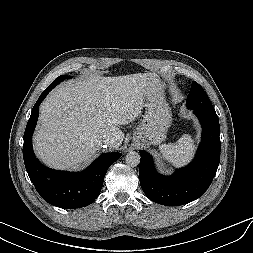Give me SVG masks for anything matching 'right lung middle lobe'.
<instances>
[{
    "instance_id": "right-lung-middle-lobe-1",
    "label": "right lung middle lobe",
    "mask_w": 253,
    "mask_h": 253,
    "mask_svg": "<svg viewBox=\"0 0 253 253\" xmlns=\"http://www.w3.org/2000/svg\"><path fill=\"white\" fill-rule=\"evenodd\" d=\"M66 78L67 77L65 75H61V76L57 77L50 85L55 87L57 84L60 83V81L66 79Z\"/></svg>"
}]
</instances>
